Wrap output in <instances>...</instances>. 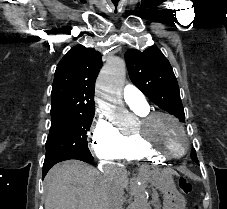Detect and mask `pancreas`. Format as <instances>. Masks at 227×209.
<instances>
[{
    "instance_id": "obj_1",
    "label": "pancreas",
    "mask_w": 227,
    "mask_h": 209,
    "mask_svg": "<svg viewBox=\"0 0 227 209\" xmlns=\"http://www.w3.org/2000/svg\"><path fill=\"white\" fill-rule=\"evenodd\" d=\"M153 206H154L153 209H160V208H159L160 205H159L158 203H155Z\"/></svg>"
}]
</instances>
